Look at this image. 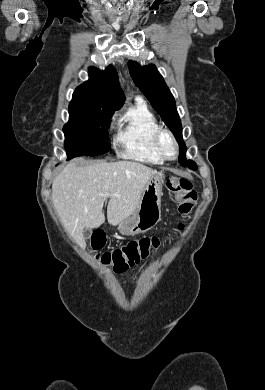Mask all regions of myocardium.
Listing matches in <instances>:
<instances>
[{
    "instance_id": "obj_1",
    "label": "myocardium",
    "mask_w": 265,
    "mask_h": 390,
    "mask_svg": "<svg viewBox=\"0 0 265 390\" xmlns=\"http://www.w3.org/2000/svg\"><path fill=\"white\" fill-rule=\"evenodd\" d=\"M165 139H168L172 144L171 153L167 152L165 149ZM153 143L156 151L163 160H174L177 158L179 152L178 142L171 131L164 128H159L153 135Z\"/></svg>"
}]
</instances>
